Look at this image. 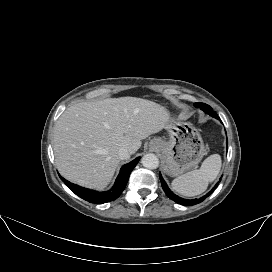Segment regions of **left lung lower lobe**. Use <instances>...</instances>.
<instances>
[{
    "mask_svg": "<svg viewBox=\"0 0 272 272\" xmlns=\"http://www.w3.org/2000/svg\"><path fill=\"white\" fill-rule=\"evenodd\" d=\"M215 118H217L219 120L218 115L213 116ZM228 144V142H227ZM160 181H161V185L162 188L164 190V192L166 193V195L172 199L173 201H175L178 204L184 205V206H191V205H195L198 203H201L202 201H204L213 191L214 189L217 187V185L209 192L207 193L205 196L199 198V199H193V200H187V199H183L181 197H178L177 195H175L167 186L166 182L164 181V179L162 178V176H159Z\"/></svg>",
    "mask_w": 272,
    "mask_h": 272,
    "instance_id": "obj_1",
    "label": "left lung lower lobe"
}]
</instances>
